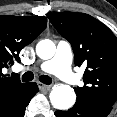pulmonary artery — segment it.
<instances>
[{"label":"pulmonary artery","instance_id":"pulmonary-artery-1","mask_svg":"<svg viewBox=\"0 0 117 117\" xmlns=\"http://www.w3.org/2000/svg\"><path fill=\"white\" fill-rule=\"evenodd\" d=\"M73 51L69 42L60 40L54 57L40 65V69L57 75L68 84H76L78 78L72 72Z\"/></svg>","mask_w":117,"mask_h":117}]
</instances>
